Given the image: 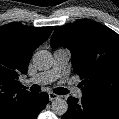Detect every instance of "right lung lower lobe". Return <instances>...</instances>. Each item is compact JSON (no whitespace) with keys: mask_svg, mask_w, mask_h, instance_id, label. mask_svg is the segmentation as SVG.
Returning <instances> with one entry per match:
<instances>
[{"mask_svg":"<svg viewBox=\"0 0 119 119\" xmlns=\"http://www.w3.org/2000/svg\"><path fill=\"white\" fill-rule=\"evenodd\" d=\"M48 100L49 96L45 92L35 94L17 119H36L38 114L45 108Z\"/></svg>","mask_w":119,"mask_h":119,"instance_id":"1","label":"right lung lower lobe"}]
</instances>
